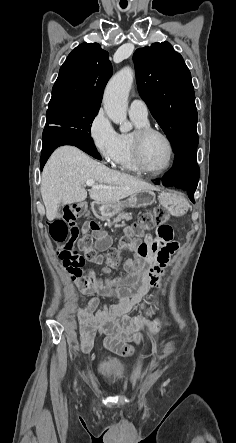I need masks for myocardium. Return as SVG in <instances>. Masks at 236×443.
I'll return each mask as SVG.
<instances>
[{"mask_svg": "<svg viewBox=\"0 0 236 443\" xmlns=\"http://www.w3.org/2000/svg\"><path fill=\"white\" fill-rule=\"evenodd\" d=\"M152 134H157L161 136L167 143L169 148V160L165 167L160 170H152L148 168L143 159V145L145 140ZM132 152L135 166L137 169L148 175H161L166 173L173 165L175 159V148L174 144L167 133L157 127H153L150 125H145L139 127L135 130L132 135Z\"/></svg>", "mask_w": 236, "mask_h": 443, "instance_id": "f54148a6", "label": "myocardium"}]
</instances>
